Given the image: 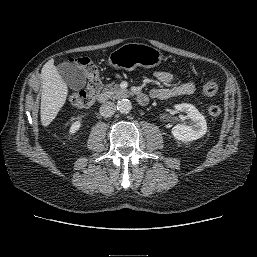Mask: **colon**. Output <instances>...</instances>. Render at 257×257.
Returning <instances> with one entry per match:
<instances>
[{
  "label": "colon",
  "mask_w": 257,
  "mask_h": 257,
  "mask_svg": "<svg viewBox=\"0 0 257 257\" xmlns=\"http://www.w3.org/2000/svg\"><path fill=\"white\" fill-rule=\"evenodd\" d=\"M75 61L83 69L87 78V85L85 89L71 94L69 100L74 106L87 108L93 104L101 90L102 83L96 65L89 58L83 57ZM217 91L218 85L213 80L206 81L202 86V93L205 96H213ZM221 111V107L217 104H213L208 108L209 114L213 117L219 116Z\"/></svg>",
  "instance_id": "colon-1"
}]
</instances>
